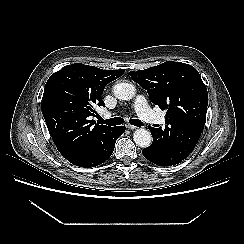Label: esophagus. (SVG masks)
<instances>
[{
  "label": "esophagus",
  "instance_id": "1",
  "mask_svg": "<svg viewBox=\"0 0 244 244\" xmlns=\"http://www.w3.org/2000/svg\"><path fill=\"white\" fill-rule=\"evenodd\" d=\"M126 127L130 130L136 129L137 127L131 124H127Z\"/></svg>",
  "mask_w": 244,
  "mask_h": 244
}]
</instances>
